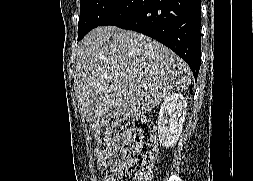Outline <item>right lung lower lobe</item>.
I'll use <instances>...</instances> for the list:
<instances>
[{"label":"right lung lower lobe","instance_id":"right-lung-lower-lobe-1","mask_svg":"<svg viewBox=\"0 0 253 181\" xmlns=\"http://www.w3.org/2000/svg\"><path fill=\"white\" fill-rule=\"evenodd\" d=\"M200 23L201 0H128L102 25H115L156 39L184 59L197 78L201 64Z\"/></svg>","mask_w":253,"mask_h":181}]
</instances>
